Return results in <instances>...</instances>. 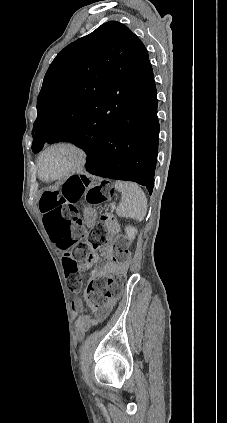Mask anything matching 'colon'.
I'll use <instances>...</instances> for the list:
<instances>
[{"label": "colon", "mask_w": 227, "mask_h": 423, "mask_svg": "<svg viewBox=\"0 0 227 423\" xmlns=\"http://www.w3.org/2000/svg\"><path fill=\"white\" fill-rule=\"evenodd\" d=\"M84 195L89 203L98 204L110 198L113 191L107 183L93 182L76 176L65 181L60 188L44 190L39 201L44 226L62 253L67 285L73 293L80 291L82 274L90 269L93 261V254L85 246H80L76 251L72 250L83 231L77 203ZM115 224L111 214H103L100 217L89 236V242L94 249L104 247L108 243L109 230L113 229ZM112 257L121 265V271L108 278L91 276L86 286L85 298L94 311L122 294L131 259V252L123 237H119L113 244Z\"/></svg>", "instance_id": "colon-1"}]
</instances>
